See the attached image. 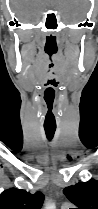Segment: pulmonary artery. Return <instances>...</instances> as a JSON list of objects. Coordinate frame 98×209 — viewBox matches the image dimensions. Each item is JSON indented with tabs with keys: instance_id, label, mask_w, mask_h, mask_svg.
Listing matches in <instances>:
<instances>
[{
	"instance_id": "1",
	"label": "pulmonary artery",
	"mask_w": 98,
	"mask_h": 209,
	"mask_svg": "<svg viewBox=\"0 0 98 209\" xmlns=\"http://www.w3.org/2000/svg\"><path fill=\"white\" fill-rule=\"evenodd\" d=\"M61 209H69V205L67 203H64L62 205Z\"/></svg>"
}]
</instances>
